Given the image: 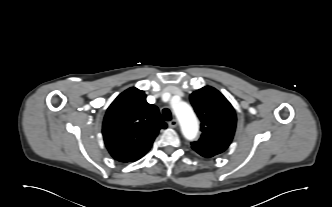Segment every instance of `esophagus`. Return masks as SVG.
Here are the masks:
<instances>
[{
    "instance_id": "1",
    "label": "esophagus",
    "mask_w": 332,
    "mask_h": 207,
    "mask_svg": "<svg viewBox=\"0 0 332 207\" xmlns=\"http://www.w3.org/2000/svg\"><path fill=\"white\" fill-rule=\"evenodd\" d=\"M168 125H169V127H171V128H175V127H177V125H178V121H177L176 119H173V120H171V121L168 123Z\"/></svg>"
}]
</instances>
